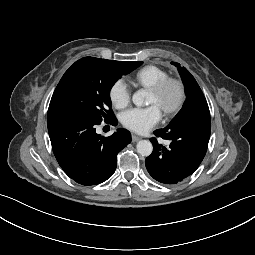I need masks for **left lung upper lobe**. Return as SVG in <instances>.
<instances>
[{
	"mask_svg": "<svg viewBox=\"0 0 255 255\" xmlns=\"http://www.w3.org/2000/svg\"><path fill=\"white\" fill-rule=\"evenodd\" d=\"M171 64L175 65L178 68L183 84L185 86V93L187 99L184 102L183 106L192 99L204 97L202 90L200 89L198 83L190 74V72L185 67H180V64L176 62H171Z\"/></svg>",
	"mask_w": 255,
	"mask_h": 255,
	"instance_id": "obj_1",
	"label": "left lung upper lobe"
}]
</instances>
